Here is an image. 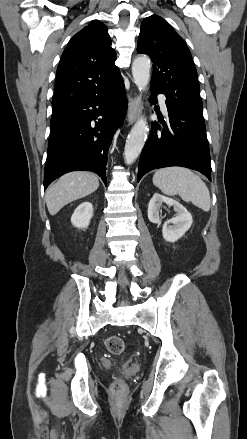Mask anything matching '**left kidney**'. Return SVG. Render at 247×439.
Returning a JSON list of instances; mask_svg holds the SVG:
<instances>
[{
  "instance_id": "left-kidney-1",
  "label": "left kidney",
  "mask_w": 247,
  "mask_h": 439,
  "mask_svg": "<svg viewBox=\"0 0 247 439\" xmlns=\"http://www.w3.org/2000/svg\"><path fill=\"white\" fill-rule=\"evenodd\" d=\"M173 206L177 213L175 217L163 224L162 235L168 242H175L180 239L191 227L193 219L188 210L176 200L155 193L148 204V219L152 223H160L159 209L162 203Z\"/></svg>"
}]
</instances>
